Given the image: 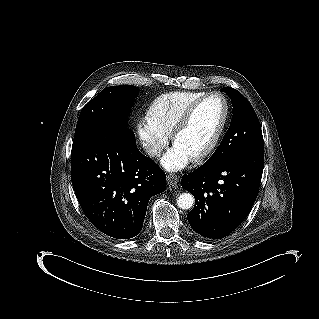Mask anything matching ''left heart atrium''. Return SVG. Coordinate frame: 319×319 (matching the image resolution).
Masks as SVG:
<instances>
[{"mask_svg": "<svg viewBox=\"0 0 319 319\" xmlns=\"http://www.w3.org/2000/svg\"><path fill=\"white\" fill-rule=\"evenodd\" d=\"M192 153L183 146L177 144L161 159L162 166L168 171H177L186 167L192 160Z\"/></svg>", "mask_w": 319, "mask_h": 319, "instance_id": "obj_1", "label": "left heart atrium"}]
</instances>
